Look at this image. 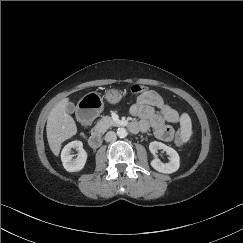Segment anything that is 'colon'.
<instances>
[{
    "label": "colon",
    "mask_w": 243,
    "mask_h": 243,
    "mask_svg": "<svg viewBox=\"0 0 243 243\" xmlns=\"http://www.w3.org/2000/svg\"><path fill=\"white\" fill-rule=\"evenodd\" d=\"M130 91L132 94H141L146 91H148V88L146 86L140 85V84H134L131 86ZM193 140V134L189 133L186 137H184L182 134L177 135L176 142L177 143H191Z\"/></svg>",
    "instance_id": "obj_1"
}]
</instances>
